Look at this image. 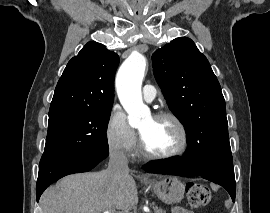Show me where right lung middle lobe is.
<instances>
[{
	"mask_svg": "<svg viewBox=\"0 0 270 213\" xmlns=\"http://www.w3.org/2000/svg\"><path fill=\"white\" fill-rule=\"evenodd\" d=\"M110 114L111 109L50 110L47 139L41 160L108 150L106 131Z\"/></svg>",
	"mask_w": 270,
	"mask_h": 213,
	"instance_id": "right-lung-middle-lobe-1",
	"label": "right lung middle lobe"
}]
</instances>
